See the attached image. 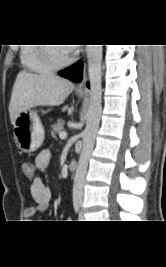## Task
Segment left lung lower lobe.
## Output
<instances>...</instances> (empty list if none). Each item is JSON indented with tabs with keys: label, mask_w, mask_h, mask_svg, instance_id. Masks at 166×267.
<instances>
[{
	"label": "left lung lower lobe",
	"mask_w": 166,
	"mask_h": 267,
	"mask_svg": "<svg viewBox=\"0 0 166 267\" xmlns=\"http://www.w3.org/2000/svg\"><path fill=\"white\" fill-rule=\"evenodd\" d=\"M82 69H83V62H79L74 66L59 71L58 74L72 81L80 82L82 79Z\"/></svg>",
	"instance_id": "left-lung-lower-lobe-1"
}]
</instances>
